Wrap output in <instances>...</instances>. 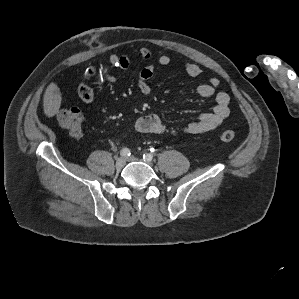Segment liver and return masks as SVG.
<instances>
[{
	"instance_id": "obj_1",
	"label": "liver",
	"mask_w": 299,
	"mask_h": 299,
	"mask_svg": "<svg viewBox=\"0 0 299 299\" xmlns=\"http://www.w3.org/2000/svg\"><path fill=\"white\" fill-rule=\"evenodd\" d=\"M61 93L56 83L51 82L45 91L43 99V110L47 117H53L61 106Z\"/></svg>"
}]
</instances>
